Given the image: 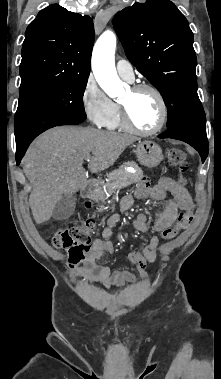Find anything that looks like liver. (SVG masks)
<instances>
[{
    "mask_svg": "<svg viewBox=\"0 0 221 379\" xmlns=\"http://www.w3.org/2000/svg\"><path fill=\"white\" fill-rule=\"evenodd\" d=\"M137 138L93 128L56 127L40 135L28 148L24 173L32 185L29 203L37 224L48 221L63 194L86 187L83 162L92 157V173L112 166Z\"/></svg>",
    "mask_w": 221,
    "mask_h": 379,
    "instance_id": "1",
    "label": "liver"
}]
</instances>
